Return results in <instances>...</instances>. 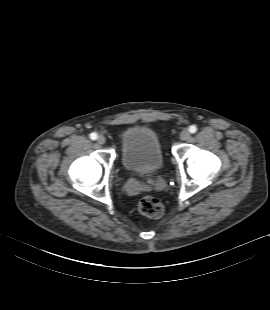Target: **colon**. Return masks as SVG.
Returning <instances> with one entry per match:
<instances>
[{"label": "colon", "instance_id": "obj_1", "mask_svg": "<svg viewBox=\"0 0 270 310\" xmlns=\"http://www.w3.org/2000/svg\"><path fill=\"white\" fill-rule=\"evenodd\" d=\"M141 214L150 218H159L163 215L164 207L160 200L153 196H145L138 203Z\"/></svg>", "mask_w": 270, "mask_h": 310}]
</instances>
